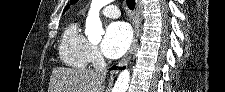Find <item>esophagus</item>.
<instances>
[{
	"label": "esophagus",
	"mask_w": 225,
	"mask_h": 92,
	"mask_svg": "<svg viewBox=\"0 0 225 92\" xmlns=\"http://www.w3.org/2000/svg\"><path fill=\"white\" fill-rule=\"evenodd\" d=\"M138 12H139V9H138V6H137V8H136V16H135V24H134L133 41H132V44H131L130 48L128 49L127 53L125 54V56L118 63V66H123V65H125V64H127L129 62V60L131 58V55L133 53V50L137 46L138 37H139V33H140V28H139V24H138Z\"/></svg>",
	"instance_id": "obj_1"
}]
</instances>
